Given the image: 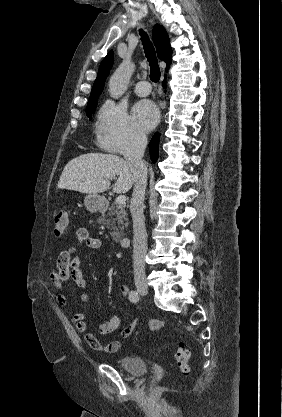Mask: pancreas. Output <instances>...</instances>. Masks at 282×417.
<instances>
[{"mask_svg":"<svg viewBox=\"0 0 282 417\" xmlns=\"http://www.w3.org/2000/svg\"><path fill=\"white\" fill-rule=\"evenodd\" d=\"M101 225H106V229H110V235L113 241H121L124 235V229L127 225V213L123 209V204H118L114 202L110 209H108L107 215H103L98 219Z\"/></svg>","mask_w":282,"mask_h":417,"instance_id":"pancreas-1","label":"pancreas"}]
</instances>
